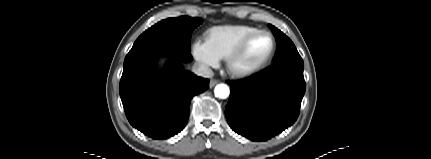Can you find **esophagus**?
I'll list each match as a JSON object with an SVG mask.
<instances>
[{
  "instance_id": "34e87169",
  "label": "esophagus",
  "mask_w": 431,
  "mask_h": 159,
  "mask_svg": "<svg viewBox=\"0 0 431 159\" xmlns=\"http://www.w3.org/2000/svg\"><path fill=\"white\" fill-rule=\"evenodd\" d=\"M219 81L216 79H211L209 82V87L212 88L214 87Z\"/></svg>"
}]
</instances>
